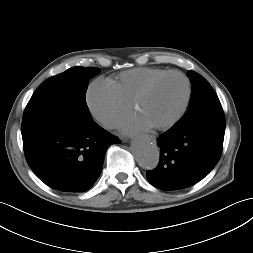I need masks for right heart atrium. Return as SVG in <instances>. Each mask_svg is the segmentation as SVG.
Masks as SVG:
<instances>
[{
	"mask_svg": "<svg viewBox=\"0 0 253 253\" xmlns=\"http://www.w3.org/2000/svg\"><path fill=\"white\" fill-rule=\"evenodd\" d=\"M86 104L91 115L105 127L115 126L129 110L110 81L95 79L86 91Z\"/></svg>",
	"mask_w": 253,
	"mask_h": 253,
	"instance_id": "obj_1",
	"label": "right heart atrium"
}]
</instances>
